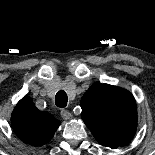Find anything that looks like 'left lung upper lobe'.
Returning a JSON list of instances; mask_svg holds the SVG:
<instances>
[{"label":"left lung upper lobe","instance_id":"left-lung-upper-lobe-1","mask_svg":"<svg viewBox=\"0 0 155 155\" xmlns=\"http://www.w3.org/2000/svg\"><path fill=\"white\" fill-rule=\"evenodd\" d=\"M81 117L103 146L126 145L135 135L137 107L133 95L109 84H94L81 99Z\"/></svg>","mask_w":155,"mask_h":155}]
</instances>
